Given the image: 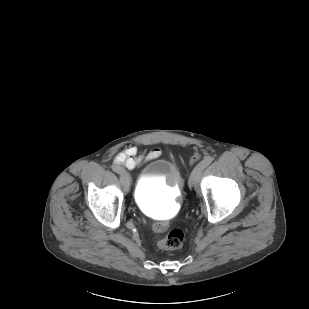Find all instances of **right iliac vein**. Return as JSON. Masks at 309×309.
Returning a JSON list of instances; mask_svg holds the SVG:
<instances>
[{"instance_id": "63e3f726", "label": "right iliac vein", "mask_w": 309, "mask_h": 309, "mask_svg": "<svg viewBox=\"0 0 309 309\" xmlns=\"http://www.w3.org/2000/svg\"><path fill=\"white\" fill-rule=\"evenodd\" d=\"M122 171V170H121ZM120 180L121 183L126 187L129 188L130 184H131V179L130 176L128 175V173L126 172L125 175H122L120 172Z\"/></svg>"}]
</instances>
